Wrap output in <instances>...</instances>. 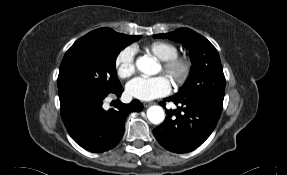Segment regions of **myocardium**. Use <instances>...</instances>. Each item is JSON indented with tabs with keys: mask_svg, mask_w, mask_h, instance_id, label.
I'll list each match as a JSON object with an SVG mask.
<instances>
[{
	"mask_svg": "<svg viewBox=\"0 0 287 175\" xmlns=\"http://www.w3.org/2000/svg\"><path fill=\"white\" fill-rule=\"evenodd\" d=\"M161 61L163 72L175 85H182L188 80L192 71V62L187 56L176 55Z\"/></svg>",
	"mask_w": 287,
	"mask_h": 175,
	"instance_id": "myocardium-1",
	"label": "myocardium"
}]
</instances>
